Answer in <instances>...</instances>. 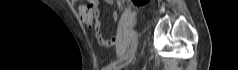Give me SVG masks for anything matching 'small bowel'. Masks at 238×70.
Here are the masks:
<instances>
[{
	"instance_id": "small-bowel-1",
	"label": "small bowel",
	"mask_w": 238,
	"mask_h": 70,
	"mask_svg": "<svg viewBox=\"0 0 238 70\" xmlns=\"http://www.w3.org/2000/svg\"><path fill=\"white\" fill-rule=\"evenodd\" d=\"M106 2L111 3L112 1L107 0ZM79 15L81 20L94 30L98 43L102 47H111L117 44L118 40L116 37H113L111 40H107L104 38L101 29V22L99 19V10L95 6V3L93 1L88 6H80ZM112 17L113 19H117V13L114 12L112 14Z\"/></svg>"
}]
</instances>
